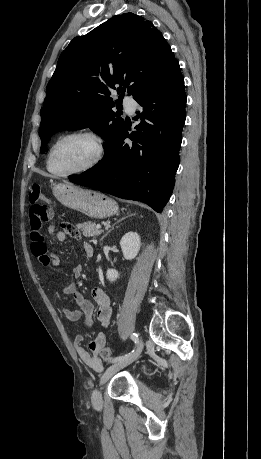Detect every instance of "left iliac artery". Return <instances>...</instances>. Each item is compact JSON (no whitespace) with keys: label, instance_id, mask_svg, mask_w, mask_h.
Instances as JSON below:
<instances>
[{"label":"left iliac artery","instance_id":"1","mask_svg":"<svg viewBox=\"0 0 261 459\" xmlns=\"http://www.w3.org/2000/svg\"><path fill=\"white\" fill-rule=\"evenodd\" d=\"M131 339L133 340V342H134L135 344H138L139 338H138V335H137L136 333H133V334L131 335ZM132 352H133V351H132ZM129 354H130V353L125 354V355H122V356L115 357V358L112 360V363L117 362V361L123 359L125 356H127V355H129Z\"/></svg>","mask_w":261,"mask_h":459}]
</instances>
